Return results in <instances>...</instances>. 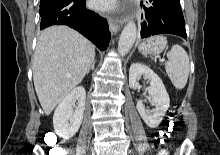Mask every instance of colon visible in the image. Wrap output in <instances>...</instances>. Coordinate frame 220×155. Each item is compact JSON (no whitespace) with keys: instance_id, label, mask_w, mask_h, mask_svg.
Segmentation results:
<instances>
[{"instance_id":"5ec220e1","label":"colon","mask_w":220,"mask_h":155,"mask_svg":"<svg viewBox=\"0 0 220 155\" xmlns=\"http://www.w3.org/2000/svg\"><path fill=\"white\" fill-rule=\"evenodd\" d=\"M179 124V120L177 118V115L174 112H171L167 117V123H166V132L167 133H158L157 137V145H160L159 147L162 148V145H170V138L171 133L174 132Z\"/></svg>"}]
</instances>
